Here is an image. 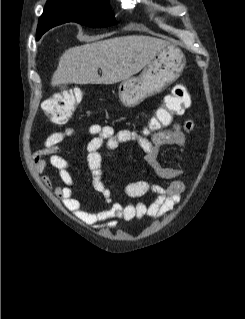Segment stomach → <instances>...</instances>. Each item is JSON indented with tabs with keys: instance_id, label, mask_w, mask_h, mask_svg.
I'll list each match as a JSON object with an SVG mask.
<instances>
[{
	"instance_id": "obj_1",
	"label": "stomach",
	"mask_w": 245,
	"mask_h": 319,
	"mask_svg": "<svg viewBox=\"0 0 245 319\" xmlns=\"http://www.w3.org/2000/svg\"><path fill=\"white\" fill-rule=\"evenodd\" d=\"M186 64L183 52L173 45L162 49L137 77L119 85V98L126 107H135L148 97L161 93L180 77Z\"/></svg>"
}]
</instances>
